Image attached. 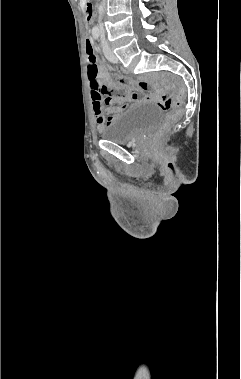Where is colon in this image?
<instances>
[{
    "mask_svg": "<svg viewBox=\"0 0 241 379\" xmlns=\"http://www.w3.org/2000/svg\"><path fill=\"white\" fill-rule=\"evenodd\" d=\"M86 56H87V69H88V85L90 89H95V91L105 92L108 91L102 87H100L99 82L97 81L98 75V66L96 55L94 53L93 44L86 40ZM157 104L163 110H172L166 117L164 123L161 125L157 132V138L163 137L171 128V126L178 120L180 117V107L184 102V93L180 92L175 98L168 96L166 94L159 95L156 99Z\"/></svg>",
    "mask_w": 241,
    "mask_h": 379,
    "instance_id": "obj_1",
    "label": "colon"
}]
</instances>
